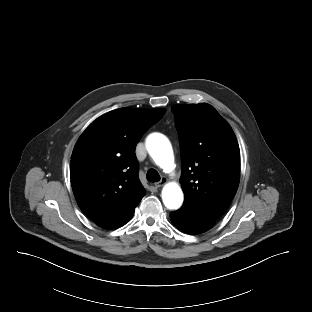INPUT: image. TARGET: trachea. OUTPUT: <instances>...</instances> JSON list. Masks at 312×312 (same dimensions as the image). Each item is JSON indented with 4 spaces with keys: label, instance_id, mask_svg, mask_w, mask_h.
Here are the masks:
<instances>
[{
    "label": "trachea",
    "instance_id": "1",
    "mask_svg": "<svg viewBox=\"0 0 312 312\" xmlns=\"http://www.w3.org/2000/svg\"><path fill=\"white\" fill-rule=\"evenodd\" d=\"M146 177L149 182H158L160 180V175L154 169H149Z\"/></svg>",
    "mask_w": 312,
    "mask_h": 312
}]
</instances>
